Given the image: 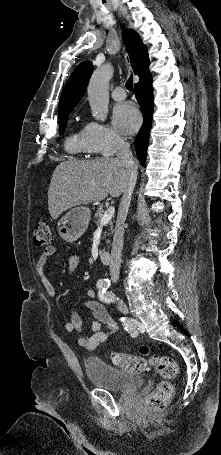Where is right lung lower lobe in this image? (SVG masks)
Listing matches in <instances>:
<instances>
[{
	"instance_id": "1",
	"label": "right lung lower lobe",
	"mask_w": 221,
	"mask_h": 455,
	"mask_svg": "<svg viewBox=\"0 0 221 455\" xmlns=\"http://www.w3.org/2000/svg\"><path fill=\"white\" fill-rule=\"evenodd\" d=\"M134 91L137 101L143 111V124L138 132V135L135 138V147L137 157L140 160L141 165L144 166L146 162V153L149 143L154 107L152 77L148 70V67L143 73L142 77H140V81L135 84Z\"/></svg>"
}]
</instances>
